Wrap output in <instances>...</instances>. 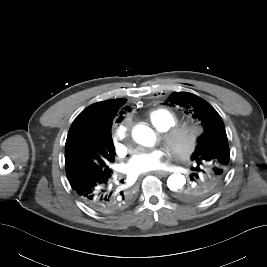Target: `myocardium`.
I'll return each mask as SVG.
<instances>
[{
	"label": "myocardium",
	"instance_id": "f54148a6",
	"mask_svg": "<svg viewBox=\"0 0 267 267\" xmlns=\"http://www.w3.org/2000/svg\"><path fill=\"white\" fill-rule=\"evenodd\" d=\"M197 140V129L187 124L174 125L162 135L164 146L179 158L188 157L194 151Z\"/></svg>",
	"mask_w": 267,
	"mask_h": 267
}]
</instances>
